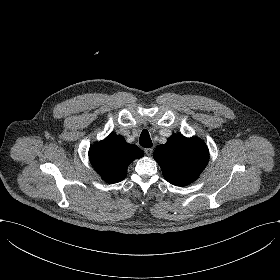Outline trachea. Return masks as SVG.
Here are the masks:
<instances>
[{
  "mask_svg": "<svg viewBox=\"0 0 280 280\" xmlns=\"http://www.w3.org/2000/svg\"><path fill=\"white\" fill-rule=\"evenodd\" d=\"M139 143L144 148H150L152 147V141L150 139L149 132L147 130H143L141 132Z\"/></svg>",
  "mask_w": 280,
  "mask_h": 280,
  "instance_id": "trachea-1",
  "label": "trachea"
}]
</instances>
